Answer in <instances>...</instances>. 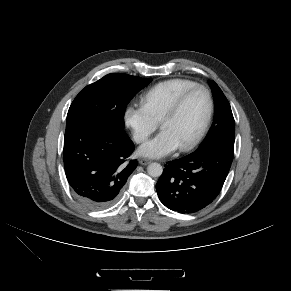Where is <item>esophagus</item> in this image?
Instances as JSON below:
<instances>
[{"instance_id":"1","label":"esophagus","mask_w":291,"mask_h":291,"mask_svg":"<svg viewBox=\"0 0 291 291\" xmlns=\"http://www.w3.org/2000/svg\"><path fill=\"white\" fill-rule=\"evenodd\" d=\"M150 162H151V160L146 159V158H141V159H139V163H140L141 165H147V164H149Z\"/></svg>"}]
</instances>
